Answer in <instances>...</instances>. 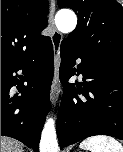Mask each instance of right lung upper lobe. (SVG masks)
I'll use <instances>...</instances> for the list:
<instances>
[{
    "mask_svg": "<svg viewBox=\"0 0 123 152\" xmlns=\"http://www.w3.org/2000/svg\"><path fill=\"white\" fill-rule=\"evenodd\" d=\"M48 12V0H1V63H18L47 42L40 32Z\"/></svg>",
    "mask_w": 123,
    "mask_h": 152,
    "instance_id": "1",
    "label": "right lung upper lobe"
}]
</instances>
